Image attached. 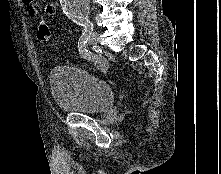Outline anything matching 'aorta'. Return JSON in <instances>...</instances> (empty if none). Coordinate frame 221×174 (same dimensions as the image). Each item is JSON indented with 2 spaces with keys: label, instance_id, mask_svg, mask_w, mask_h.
I'll return each instance as SVG.
<instances>
[{
  "label": "aorta",
  "instance_id": "aorta-1",
  "mask_svg": "<svg viewBox=\"0 0 221 174\" xmlns=\"http://www.w3.org/2000/svg\"><path fill=\"white\" fill-rule=\"evenodd\" d=\"M63 12L71 19L79 22L88 19L90 0H60Z\"/></svg>",
  "mask_w": 221,
  "mask_h": 174
}]
</instances>
